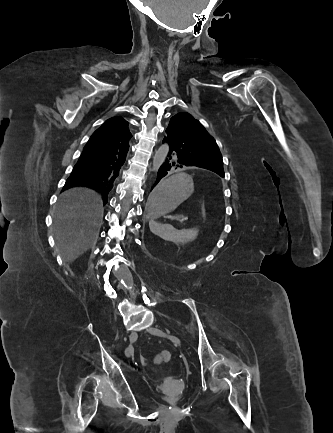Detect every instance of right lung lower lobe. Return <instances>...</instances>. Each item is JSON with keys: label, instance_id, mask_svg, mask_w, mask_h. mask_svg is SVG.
<instances>
[{"label": "right lung lower lobe", "instance_id": "obj_1", "mask_svg": "<svg viewBox=\"0 0 333 433\" xmlns=\"http://www.w3.org/2000/svg\"><path fill=\"white\" fill-rule=\"evenodd\" d=\"M95 144L96 139L90 138L63 190L74 186L92 188L102 193L105 205L108 201V194L118 179L121 167L125 162L129 145L120 148L100 149Z\"/></svg>", "mask_w": 333, "mask_h": 433}]
</instances>
